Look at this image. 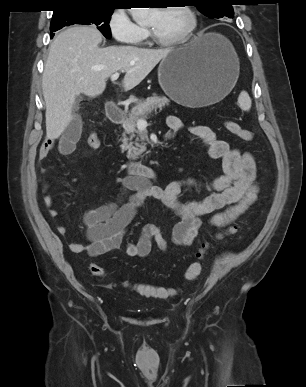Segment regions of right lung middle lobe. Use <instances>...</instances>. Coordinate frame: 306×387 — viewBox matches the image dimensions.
I'll list each match as a JSON object with an SVG mask.
<instances>
[{
  "instance_id": "dd1d6c3e",
  "label": "right lung middle lobe",
  "mask_w": 306,
  "mask_h": 387,
  "mask_svg": "<svg viewBox=\"0 0 306 387\" xmlns=\"http://www.w3.org/2000/svg\"><path fill=\"white\" fill-rule=\"evenodd\" d=\"M114 8L110 7H73L53 14L50 31L55 32L64 26L85 24L97 26V29L108 39L111 38L109 21ZM53 36L54 34L51 33Z\"/></svg>"
}]
</instances>
